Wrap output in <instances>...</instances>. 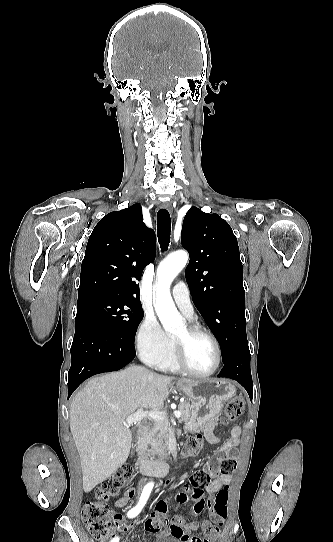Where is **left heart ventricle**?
Wrapping results in <instances>:
<instances>
[{"mask_svg":"<svg viewBox=\"0 0 333 542\" xmlns=\"http://www.w3.org/2000/svg\"><path fill=\"white\" fill-rule=\"evenodd\" d=\"M172 338L183 345L185 359L191 370L204 373L214 367L216 362L215 347L206 336L191 335L186 327Z\"/></svg>","mask_w":333,"mask_h":542,"instance_id":"left-heart-ventricle-1","label":"left heart ventricle"}]
</instances>
